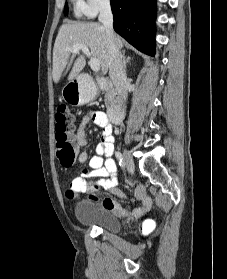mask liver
I'll return each instance as SVG.
<instances>
[{
	"mask_svg": "<svg viewBox=\"0 0 227 279\" xmlns=\"http://www.w3.org/2000/svg\"><path fill=\"white\" fill-rule=\"evenodd\" d=\"M119 48L123 47L120 37L115 36ZM86 45L90 53L102 67L103 73L109 69V52L107 35L103 25L94 22H68L63 24L58 32L53 49L52 77L58 83L71 57L74 45ZM75 60L68 80L74 79L85 67L84 55L80 52Z\"/></svg>",
	"mask_w": 227,
	"mask_h": 279,
	"instance_id": "liver-1",
	"label": "liver"
}]
</instances>
